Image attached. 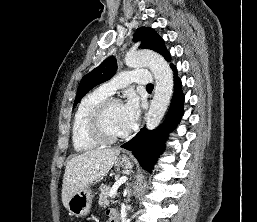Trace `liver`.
Segmentation results:
<instances>
[{
    "mask_svg": "<svg viewBox=\"0 0 257 222\" xmlns=\"http://www.w3.org/2000/svg\"><path fill=\"white\" fill-rule=\"evenodd\" d=\"M119 149H95L77 155L66 163L62 202L67 208L71 195L105 176L116 162Z\"/></svg>",
    "mask_w": 257,
    "mask_h": 222,
    "instance_id": "liver-1",
    "label": "liver"
}]
</instances>
